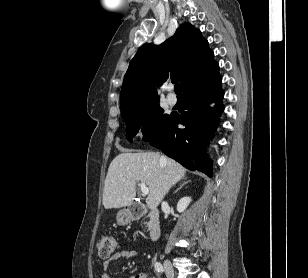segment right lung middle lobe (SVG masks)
Wrapping results in <instances>:
<instances>
[{
    "mask_svg": "<svg viewBox=\"0 0 308 278\" xmlns=\"http://www.w3.org/2000/svg\"><path fill=\"white\" fill-rule=\"evenodd\" d=\"M159 103H154L124 114L122 117L127 125V139L129 141L142 132L143 140L155 138L169 123L172 114H163Z\"/></svg>",
    "mask_w": 308,
    "mask_h": 278,
    "instance_id": "obj_1",
    "label": "right lung middle lobe"
}]
</instances>
